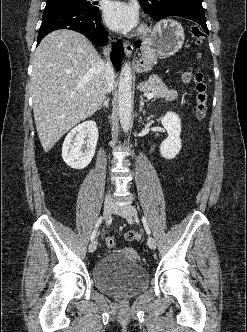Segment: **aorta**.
<instances>
[{
  "instance_id": "762f6f07",
  "label": "aorta",
  "mask_w": 247,
  "mask_h": 332,
  "mask_svg": "<svg viewBox=\"0 0 247 332\" xmlns=\"http://www.w3.org/2000/svg\"><path fill=\"white\" fill-rule=\"evenodd\" d=\"M118 108L120 123L126 133L132 120V71L129 62L123 65L119 77Z\"/></svg>"
}]
</instances>
